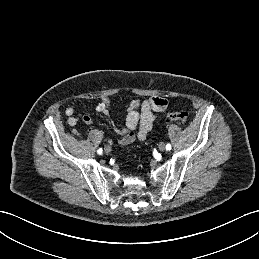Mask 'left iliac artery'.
Segmentation results:
<instances>
[{"label": "left iliac artery", "mask_w": 259, "mask_h": 259, "mask_svg": "<svg viewBox=\"0 0 259 259\" xmlns=\"http://www.w3.org/2000/svg\"><path fill=\"white\" fill-rule=\"evenodd\" d=\"M171 148H172V147H171V144H167V145H166V150H171Z\"/></svg>", "instance_id": "44dca946"}]
</instances>
